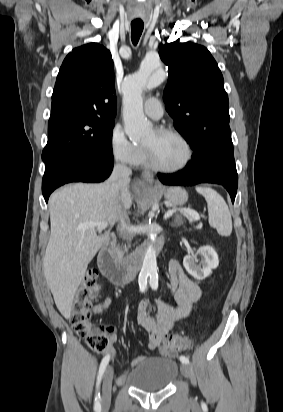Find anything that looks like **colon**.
<instances>
[{
	"mask_svg": "<svg viewBox=\"0 0 283 412\" xmlns=\"http://www.w3.org/2000/svg\"><path fill=\"white\" fill-rule=\"evenodd\" d=\"M98 287L99 272L97 269H91L77 289L67 311V317L75 334L83 339L89 348L102 352L109 344V335L103 327H96L91 322V309ZM164 345L168 352H180L190 346V341L180 335H169Z\"/></svg>",
	"mask_w": 283,
	"mask_h": 412,
	"instance_id": "obj_1",
	"label": "colon"
}]
</instances>
